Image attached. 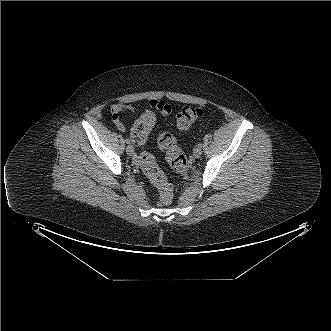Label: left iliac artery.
Wrapping results in <instances>:
<instances>
[{
    "instance_id": "44dca946",
    "label": "left iliac artery",
    "mask_w": 331,
    "mask_h": 331,
    "mask_svg": "<svg viewBox=\"0 0 331 331\" xmlns=\"http://www.w3.org/2000/svg\"><path fill=\"white\" fill-rule=\"evenodd\" d=\"M203 144L202 143H199L198 144V147L202 148Z\"/></svg>"
}]
</instances>
